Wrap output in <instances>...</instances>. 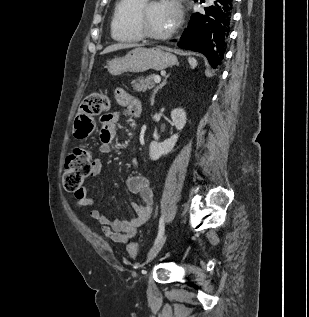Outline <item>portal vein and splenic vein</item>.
Wrapping results in <instances>:
<instances>
[{
    "mask_svg": "<svg viewBox=\"0 0 309 317\" xmlns=\"http://www.w3.org/2000/svg\"><path fill=\"white\" fill-rule=\"evenodd\" d=\"M160 81H161V77L160 76H155L154 82L155 83H160Z\"/></svg>",
    "mask_w": 309,
    "mask_h": 317,
    "instance_id": "18ae733b",
    "label": "portal vein and splenic vein"
}]
</instances>
